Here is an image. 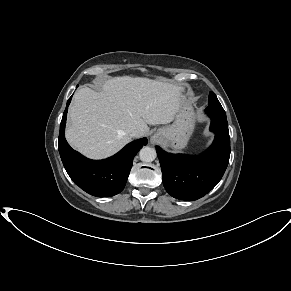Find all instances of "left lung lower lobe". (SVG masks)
Segmentation results:
<instances>
[{
    "mask_svg": "<svg viewBox=\"0 0 291 291\" xmlns=\"http://www.w3.org/2000/svg\"><path fill=\"white\" fill-rule=\"evenodd\" d=\"M211 118L210 130L215 133L213 144L198 156L172 154L156 147L163 185L180 200H197L211 191L221 180L230 157V137L223 107L206 108Z\"/></svg>",
    "mask_w": 291,
    "mask_h": 291,
    "instance_id": "1",
    "label": "left lung lower lobe"
}]
</instances>
